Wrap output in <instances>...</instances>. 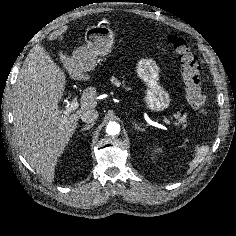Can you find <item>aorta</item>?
<instances>
[{"instance_id": "aorta-1", "label": "aorta", "mask_w": 236, "mask_h": 236, "mask_svg": "<svg viewBox=\"0 0 236 236\" xmlns=\"http://www.w3.org/2000/svg\"><path fill=\"white\" fill-rule=\"evenodd\" d=\"M106 132L109 135H117L120 132V125L116 122H109L106 127Z\"/></svg>"}]
</instances>
